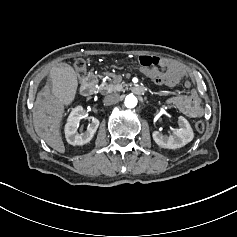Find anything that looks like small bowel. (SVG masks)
Segmentation results:
<instances>
[{
  "label": "small bowel",
  "instance_id": "small-bowel-1",
  "mask_svg": "<svg viewBox=\"0 0 237 237\" xmlns=\"http://www.w3.org/2000/svg\"><path fill=\"white\" fill-rule=\"evenodd\" d=\"M141 72L152 79L157 71L155 69H145L140 67ZM164 72L172 77L170 85L176 84L188 75L185 67L175 61H166ZM185 87L190 88L191 82L185 81ZM169 103L174 105L180 112L191 118H201L205 115V109L202 106L200 97L196 90H191L187 95H176L169 99Z\"/></svg>",
  "mask_w": 237,
  "mask_h": 237
}]
</instances>
